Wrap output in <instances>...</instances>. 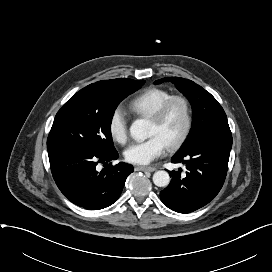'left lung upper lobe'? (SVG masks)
I'll return each mask as SVG.
<instances>
[{
    "label": "left lung upper lobe",
    "mask_w": 272,
    "mask_h": 272,
    "mask_svg": "<svg viewBox=\"0 0 272 272\" xmlns=\"http://www.w3.org/2000/svg\"><path fill=\"white\" fill-rule=\"evenodd\" d=\"M163 82L173 83L188 98L193 109L192 128L178 152L189 150L210 139L231 137L227 116L209 92L184 78H162L155 81V84Z\"/></svg>",
    "instance_id": "obj_1"
}]
</instances>
